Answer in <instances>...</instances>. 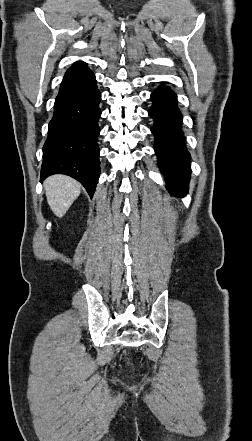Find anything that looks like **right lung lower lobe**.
<instances>
[{
  "instance_id": "right-lung-lower-lobe-1",
  "label": "right lung lower lobe",
  "mask_w": 252,
  "mask_h": 441,
  "mask_svg": "<svg viewBox=\"0 0 252 441\" xmlns=\"http://www.w3.org/2000/svg\"><path fill=\"white\" fill-rule=\"evenodd\" d=\"M101 94L84 62L67 70L54 104L43 146L41 180L65 174L78 180L92 197L100 174L98 120Z\"/></svg>"
}]
</instances>
